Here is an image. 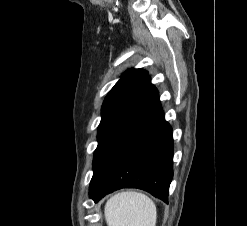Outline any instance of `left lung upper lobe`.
Wrapping results in <instances>:
<instances>
[{"mask_svg":"<svg viewBox=\"0 0 247 226\" xmlns=\"http://www.w3.org/2000/svg\"><path fill=\"white\" fill-rule=\"evenodd\" d=\"M147 72L142 69H131L123 74L106 96L102 105V118L98 127V135L120 109L138 85L145 79Z\"/></svg>","mask_w":247,"mask_h":226,"instance_id":"1","label":"left lung upper lobe"}]
</instances>
